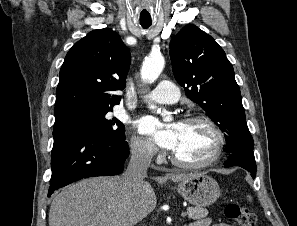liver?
Returning <instances> with one entry per match:
<instances>
[{"mask_svg": "<svg viewBox=\"0 0 297 226\" xmlns=\"http://www.w3.org/2000/svg\"><path fill=\"white\" fill-rule=\"evenodd\" d=\"M192 174L168 175L180 182ZM157 199L148 182L130 190L123 176L93 177L61 191L52 201L49 226H133L155 207Z\"/></svg>", "mask_w": 297, "mask_h": 226, "instance_id": "obj_1", "label": "liver"}]
</instances>
